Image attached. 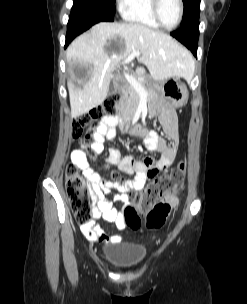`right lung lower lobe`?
I'll use <instances>...</instances> for the list:
<instances>
[{"mask_svg":"<svg viewBox=\"0 0 247 304\" xmlns=\"http://www.w3.org/2000/svg\"><path fill=\"white\" fill-rule=\"evenodd\" d=\"M113 20L114 19L111 16H106L96 13L71 12L67 24L65 48L77 35L89 29L92 25L98 22H104V21L111 22Z\"/></svg>","mask_w":247,"mask_h":304,"instance_id":"1","label":"right lung lower lobe"}]
</instances>
